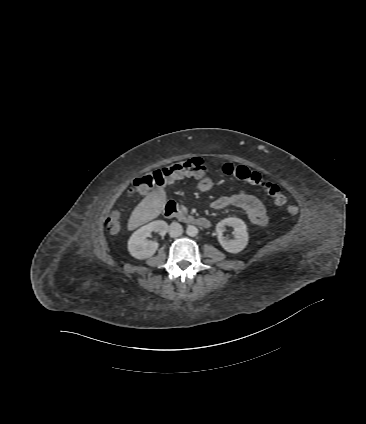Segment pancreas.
<instances>
[{
	"mask_svg": "<svg viewBox=\"0 0 366 424\" xmlns=\"http://www.w3.org/2000/svg\"><path fill=\"white\" fill-rule=\"evenodd\" d=\"M181 208H182V211H183L185 214H187V209H186V207H185V206H181ZM189 217H191V216H189Z\"/></svg>",
	"mask_w": 366,
	"mask_h": 424,
	"instance_id": "pancreas-1",
	"label": "pancreas"
}]
</instances>
